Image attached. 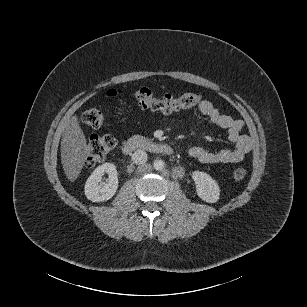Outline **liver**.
<instances>
[{"mask_svg":"<svg viewBox=\"0 0 307 307\" xmlns=\"http://www.w3.org/2000/svg\"><path fill=\"white\" fill-rule=\"evenodd\" d=\"M63 135L61 140V163L67 179L75 183L80 176L88 156L92 153L90 143L79 123V115L75 114L62 120Z\"/></svg>","mask_w":307,"mask_h":307,"instance_id":"1","label":"liver"}]
</instances>
